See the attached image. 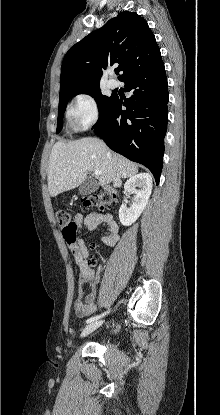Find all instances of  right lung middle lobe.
<instances>
[{
	"instance_id": "obj_1",
	"label": "right lung middle lobe",
	"mask_w": 220,
	"mask_h": 415,
	"mask_svg": "<svg viewBox=\"0 0 220 415\" xmlns=\"http://www.w3.org/2000/svg\"><path fill=\"white\" fill-rule=\"evenodd\" d=\"M78 94H88L92 96L98 105L99 109V120L97 124H95L94 128L98 126L105 118L110 105L113 101V95L110 97L104 96L101 93L99 85H84V86H78L72 89L67 90L64 93H61L59 95V110H58V119H57V130L56 133H59L63 126V114L66 109L67 103L70 98L78 95Z\"/></svg>"
}]
</instances>
